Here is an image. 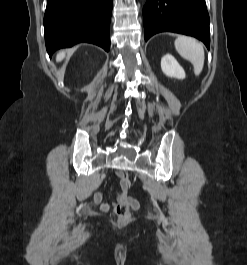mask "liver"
Returning <instances> with one entry per match:
<instances>
[{"label":"liver","mask_w":247,"mask_h":265,"mask_svg":"<svg viewBox=\"0 0 247 265\" xmlns=\"http://www.w3.org/2000/svg\"><path fill=\"white\" fill-rule=\"evenodd\" d=\"M63 58H64V52H60V53L57 55V60H58V61H61Z\"/></svg>","instance_id":"liver-1"}]
</instances>
